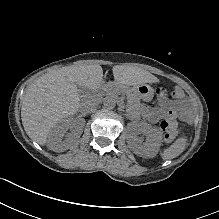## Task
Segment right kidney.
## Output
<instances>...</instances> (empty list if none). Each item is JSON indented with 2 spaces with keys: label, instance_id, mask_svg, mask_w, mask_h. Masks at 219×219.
Returning <instances> with one entry per match:
<instances>
[{
  "label": "right kidney",
  "instance_id": "1",
  "mask_svg": "<svg viewBox=\"0 0 219 219\" xmlns=\"http://www.w3.org/2000/svg\"><path fill=\"white\" fill-rule=\"evenodd\" d=\"M67 126H73V131H77L75 125H71V120L64 122L61 126L54 129L49 136L47 147L55 152H64L68 149V145L62 141V138L67 134ZM75 137H80V134H76Z\"/></svg>",
  "mask_w": 219,
  "mask_h": 219
}]
</instances>
